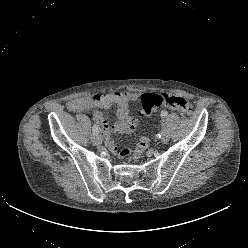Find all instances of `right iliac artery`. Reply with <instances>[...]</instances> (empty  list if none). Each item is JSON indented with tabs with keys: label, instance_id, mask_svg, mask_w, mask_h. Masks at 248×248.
<instances>
[{
	"label": "right iliac artery",
	"instance_id": "1",
	"mask_svg": "<svg viewBox=\"0 0 248 248\" xmlns=\"http://www.w3.org/2000/svg\"><path fill=\"white\" fill-rule=\"evenodd\" d=\"M98 132H99V127H98V125L95 124V125L93 126V133L96 134V133H98Z\"/></svg>",
	"mask_w": 248,
	"mask_h": 248
}]
</instances>
